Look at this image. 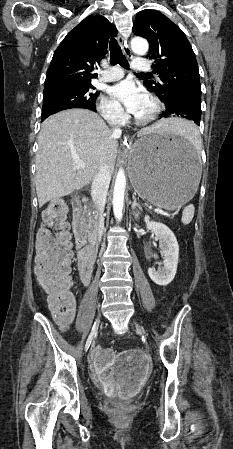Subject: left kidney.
Returning a JSON list of instances; mask_svg holds the SVG:
<instances>
[{
    "mask_svg": "<svg viewBox=\"0 0 233 449\" xmlns=\"http://www.w3.org/2000/svg\"><path fill=\"white\" fill-rule=\"evenodd\" d=\"M147 229L152 230L159 240L164 256L163 267L148 269L150 279L160 286H166L174 279L179 257V246L174 233L163 223L146 220Z\"/></svg>",
    "mask_w": 233,
    "mask_h": 449,
    "instance_id": "5707ae66",
    "label": "left kidney"
}]
</instances>
